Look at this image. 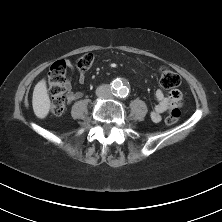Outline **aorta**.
I'll use <instances>...</instances> for the list:
<instances>
[{
  "label": "aorta",
  "mask_w": 222,
  "mask_h": 222,
  "mask_svg": "<svg viewBox=\"0 0 222 222\" xmlns=\"http://www.w3.org/2000/svg\"><path fill=\"white\" fill-rule=\"evenodd\" d=\"M112 86L120 97H125L129 93V89L122 84V81L118 79L113 81Z\"/></svg>",
  "instance_id": "obj_1"
}]
</instances>
